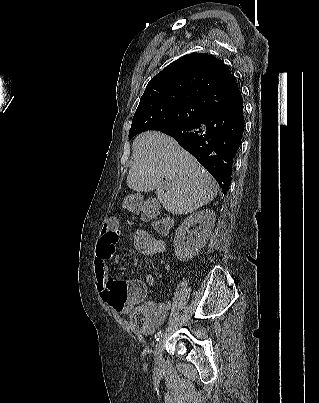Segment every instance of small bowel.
<instances>
[{
    "label": "small bowel",
    "instance_id": "1",
    "mask_svg": "<svg viewBox=\"0 0 319 403\" xmlns=\"http://www.w3.org/2000/svg\"><path fill=\"white\" fill-rule=\"evenodd\" d=\"M105 224L99 226L94 256L96 287L101 291V301L108 303L110 309H116V314L131 329L132 335H151L165 321L171 303L147 299L148 286L155 284L153 274L146 276V285H142L140 279H108V261L114 254L120 253L122 231L114 217H107Z\"/></svg>",
    "mask_w": 319,
    "mask_h": 403
}]
</instances>
